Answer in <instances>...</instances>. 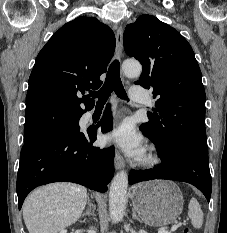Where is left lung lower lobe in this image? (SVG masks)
<instances>
[{
  "instance_id": "obj_1",
  "label": "left lung lower lobe",
  "mask_w": 227,
  "mask_h": 233,
  "mask_svg": "<svg viewBox=\"0 0 227 233\" xmlns=\"http://www.w3.org/2000/svg\"><path fill=\"white\" fill-rule=\"evenodd\" d=\"M158 153L161 164L150 170H131L130 185L153 179L187 182L197 187L209 202L212 179L207 152L192 145L178 144L166 153Z\"/></svg>"
}]
</instances>
